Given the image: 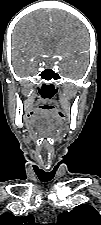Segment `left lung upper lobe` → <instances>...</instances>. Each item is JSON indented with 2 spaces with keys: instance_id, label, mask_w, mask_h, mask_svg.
<instances>
[{
  "instance_id": "left-lung-upper-lobe-1",
  "label": "left lung upper lobe",
  "mask_w": 101,
  "mask_h": 225,
  "mask_svg": "<svg viewBox=\"0 0 101 225\" xmlns=\"http://www.w3.org/2000/svg\"><path fill=\"white\" fill-rule=\"evenodd\" d=\"M55 225H101V216L92 206L81 204L71 212L61 213Z\"/></svg>"
}]
</instances>
